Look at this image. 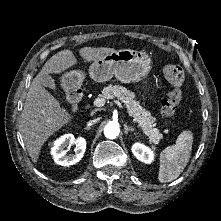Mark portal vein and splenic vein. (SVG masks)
I'll list each match as a JSON object with an SVG mask.
<instances>
[{
    "instance_id": "18ae733b",
    "label": "portal vein and splenic vein",
    "mask_w": 221,
    "mask_h": 221,
    "mask_svg": "<svg viewBox=\"0 0 221 221\" xmlns=\"http://www.w3.org/2000/svg\"><path fill=\"white\" fill-rule=\"evenodd\" d=\"M106 103V100L104 98H96L94 101H93V105L95 107H102L104 106ZM114 103L119 106L120 108L123 109V105L121 104V102L119 100H114Z\"/></svg>"
}]
</instances>
